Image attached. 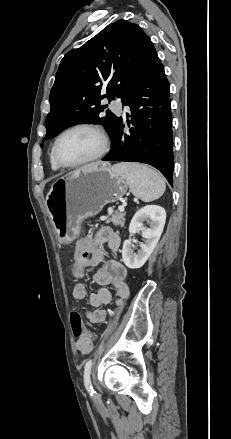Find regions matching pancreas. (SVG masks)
<instances>
[{"instance_id":"obj_1","label":"pancreas","mask_w":231,"mask_h":439,"mask_svg":"<svg viewBox=\"0 0 231 439\" xmlns=\"http://www.w3.org/2000/svg\"><path fill=\"white\" fill-rule=\"evenodd\" d=\"M112 222L115 226H124L125 223V213L117 212L112 215L110 218L106 219V223Z\"/></svg>"}]
</instances>
